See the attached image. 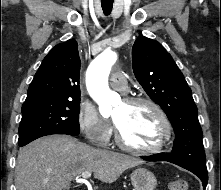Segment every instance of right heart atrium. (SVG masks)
<instances>
[{"instance_id":"d8ad5b80","label":"right heart atrium","mask_w":221,"mask_h":190,"mask_svg":"<svg viewBox=\"0 0 221 190\" xmlns=\"http://www.w3.org/2000/svg\"><path fill=\"white\" fill-rule=\"evenodd\" d=\"M78 125L85 137L93 144L107 146L113 134L111 124L104 119L96 107L88 101L80 104Z\"/></svg>"}]
</instances>
